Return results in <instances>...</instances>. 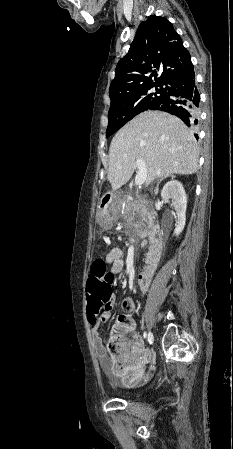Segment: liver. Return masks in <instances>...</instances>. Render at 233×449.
Listing matches in <instances>:
<instances>
[{
	"mask_svg": "<svg viewBox=\"0 0 233 449\" xmlns=\"http://www.w3.org/2000/svg\"><path fill=\"white\" fill-rule=\"evenodd\" d=\"M197 141L181 119L162 111H145L121 128L109 149L108 181L115 191L127 183L142 159L148 186L156 178L189 175L198 170Z\"/></svg>",
	"mask_w": 233,
	"mask_h": 449,
	"instance_id": "6515ba94",
	"label": "liver"
}]
</instances>
